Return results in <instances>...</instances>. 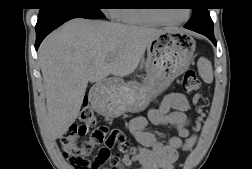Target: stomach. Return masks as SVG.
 Here are the masks:
<instances>
[{
	"label": "stomach",
	"instance_id": "1",
	"mask_svg": "<svg viewBox=\"0 0 252 169\" xmlns=\"http://www.w3.org/2000/svg\"><path fill=\"white\" fill-rule=\"evenodd\" d=\"M196 43L183 30H164L147 46L146 76L136 81H105L97 84L92 104L108 117L144 110L152 97L162 93L192 60Z\"/></svg>",
	"mask_w": 252,
	"mask_h": 169
}]
</instances>
